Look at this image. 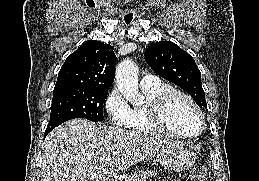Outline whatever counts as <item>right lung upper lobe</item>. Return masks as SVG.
Instances as JSON below:
<instances>
[{
    "mask_svg": "<svg viewBox=\"0 0 259 181\" xmlns=\"http://www.w3.org/2000/svg\"><path fill=\"white\" fill-rule=\"evenodd\" d=\"M114 47L100 41H88L69 55L61 67L55 88H91L109 90L115 77Z\"/></svg>",
    "mask_w": 259,
    "mask_h": 181,
    "instance_id": "1",
    "label": "right lung upper lobe"
}]
</instances>
